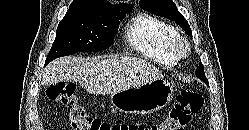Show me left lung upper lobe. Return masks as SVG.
Masks as SVG:
<instances>
[{"label":"left lung upper lobe","mask_w":249,"mask_h":130,"mask_svg":"<svg viewBox=\"0 0 249 130\" xmlns=\"http://www.w3.org/2000/svg\"><path fill=\"white\" fill-rule=\"evenodd\" d=\"M139 5L144 10L175 21L189 36L192 37V31L187 20L177 10V7L172 0H140ZM195 74L208 85V80L204 74V66L202 63H200V66L196 69Z\"/></svg>","instance_id":"1"}]
</instances>
